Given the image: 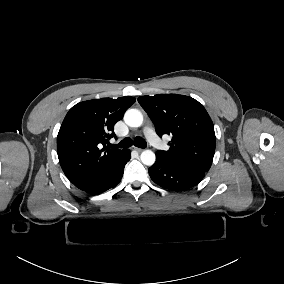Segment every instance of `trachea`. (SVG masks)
<instances>
[{
	"instance_id": "trachea-1",
	"label": "trachea",
	"mask_w": 284,
	"mask_h": 284,
	"mask_svg": "<svg viewBox=\"0 0 284 284\" xmlns=\"http://www.w3.org/2000/svg\"><path fill=\"white\" fill-rule=\"evenodd\" d=\"M133 144L139 148L147 147L146 141L141 137H136L134 142H132L131 138L127 137L123 139L119 144L115 145V147L116 148H128V147H131Z\"/></svg>"
}]
</instances>
